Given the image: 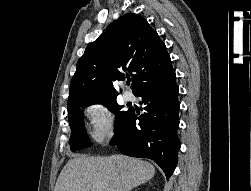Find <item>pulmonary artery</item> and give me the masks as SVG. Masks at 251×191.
Returning a JSON list of instances; mask_svg holds the SVG:
<instances>
[{
	"label": "pulmonary artery",
	"mask_w": 251,
	"mask_h": 191,
	"mask_svg": "<svg viewBox=\"0 0 251 191\" xmlns=\"http://www.w3.org/2000/svg\"><path fill=\"white\" fill-rule=\"evenodd\" d=\"M123 97H124V99L127 100V101H132V100H134V95H133V93H132L131 91H128V90H125V91L123 92Z\"/></svg>",
	"instance_id": "pulmonary-artery-1"
}]
</instances>
